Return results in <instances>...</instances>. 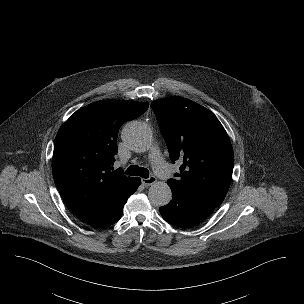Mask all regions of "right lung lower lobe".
<instances>
[{
    "mask_svg": "<svg viewBox=\"0 0 304 304\" xmlns=\"http://www.w3.org/2000/svg\"><path fill=\"white\" fill-rule=\"evenodd\" d=\"M141 184L140 178L136 177L112 199V201L96 216L86 222L91 226L102 228L107 227L117 222L123 213L124 204L128 198L137 190Z\"/></svg>",
    "mask_w": 304,
    "mask_h": 304,
    "instance_id": "98d812e1",
    "label": "right lung lower lobe"
}]
</instances>
